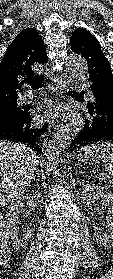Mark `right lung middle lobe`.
I'll return each instance as SVG.
<instances>
[{
  "label": "right lung middle lobe",
  "instance_id": "right-lung-middle-lobe-1",
  "mask_svg": "<svg viewBox=\"0 0 113 279\" xmlns=\"http://www.w3.org/2000/svg\"><path fill=\"white\" fill-rule=\"evenodd\" d=\"M23 111L17 107V104H12L4 108H0V125L11 123L22 117Z\"/></svg>",
  "mask_w": 113,
  "mask_h": 279
}]
</instances>
